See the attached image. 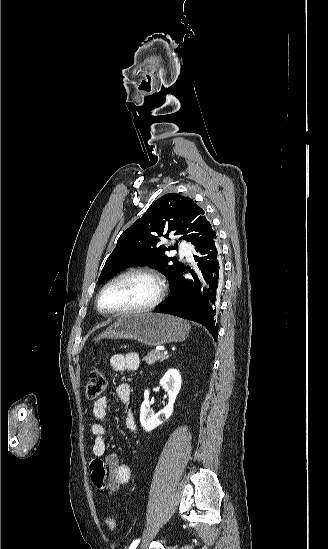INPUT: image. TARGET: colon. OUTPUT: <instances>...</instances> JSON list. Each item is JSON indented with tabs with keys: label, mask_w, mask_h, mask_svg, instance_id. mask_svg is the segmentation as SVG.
Segmentation results:
<instances>
[{
	"label": "colon",
	"mask_w": 328,
	"mask_h": 549,
	"mask_svg": "<svg viewBox=\"0 0 328 549\" xmlns=\"http://www.w3.org/2000/svg\"><path fill=\"white\" fill-rule=\"evenodd\" d=\"M106 387V379L103 373L98 369H93L90 374L86 384V397L89 400H97ZM106 526L110 530L116 528V520L112 514H108L104 518Z\"/></svg>",
	"instance_id": "5ec220e1"
}]
</instances>
